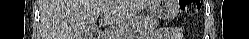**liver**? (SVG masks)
<instances>
[{
	"label": "liver",
	"instance_id": "liver-1",
	"mask_svg": "<svg viewBox=\"0 0 249 39\" xmlns=\"http://www.w3.org/2000/svg\"><path fill=\"white\" fill-rule=\"evenodd\" d=\"M154 0H43V39H90L89 29L99 16L104 26L122 23Z\"/></svg>",
	"mask_w": 249,
	"mask_h": 39
}]
</instances>
